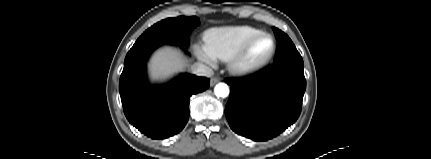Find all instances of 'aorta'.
Listing matches in <instances>:
<instances>
[{"instance_id":"1","label":"aorta","mask_w":431,"mask_h":159,"mask_svg":"<svg viewBox=\"0 0 431 159\" xmlns=\"http://www.w3.org/2000/svg\"><path fill=\"white\" fill-rule=\"evenodd\" d=\"M214 93L217 97H227L229 95V87L225 83H218L214 88Z\"/></svg>"}]
</instances>
